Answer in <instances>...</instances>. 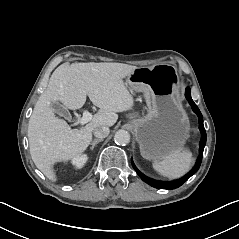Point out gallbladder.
<instances>
[{"mask_svg": "<svg viewBox=\"0 0 239 239\" xmlns=\"http://www.w3.org/2000/svg\"><path fill=\"white\" fill-rule=\"evenodd\" d=\"M50 108L53 110L54 113L65 117L66 120H72V115H69L67 108L59 102L52 101L50 103Z\"/></svg>", "mask_w": 239, "mask_h": 239, "instance_id": "gallbladder-1", "label": "gallbladder"}]
</instances>
